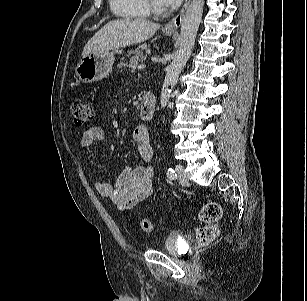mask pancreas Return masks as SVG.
Instances as JSON below:
<instances>
[{
	"mask_svg": "<svg viewBox=\"0 0 307 301\" xmlns=\"http://www.w3.org/2000/svg\"><path fill=\"white\" fill-rule=\"evenodd\" d=\"M145 60L146 55L142 51H139L133 57H131L128 63H122L121 66L128 68L130 71H135L138 64Z\"/></svg>",
	"mask_w": 307,
	"mask_h": 301,
	"instance_id": "obj_1",
	"label": "pancreas"
}]
</instances>
